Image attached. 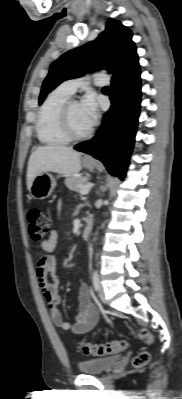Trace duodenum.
<instances>
[{"label": "duodenum", "instance_id": "1", "mask_svg": "<svg viewBox=\"0 0 182 399\" xmlns=\"http://www.w3.org/2000/svg\"><path fill=\"white\" fill-rule=\"evenodd\" d=\"M92 226H93V220H92V218H88L85 221V224L82 229V238L83 239H85V240L89 239L91 230H92Z\"/></svg>", "mask_w": 182, "mask_h": 399}]
</instances>
